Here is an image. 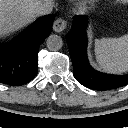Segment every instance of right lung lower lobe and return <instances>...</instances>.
<instances>
[{
    "instance_id": "obj_1",
    "label": "right lung lower lobe",
    "mask_w": 128,
    "mask_h": 128,
    "mask_svg": "<svg viewBox=\"0 0 128 128\" xmlns=\"http://www.w3.org/2000/svg\"><path fill=\"white\" fill-rule=\"evenodd\" d=\"M54 18H41L12 42L0 45V83L19 86L35 77L39 46L51 33Z\"/></svg>"
}]
</instances>
